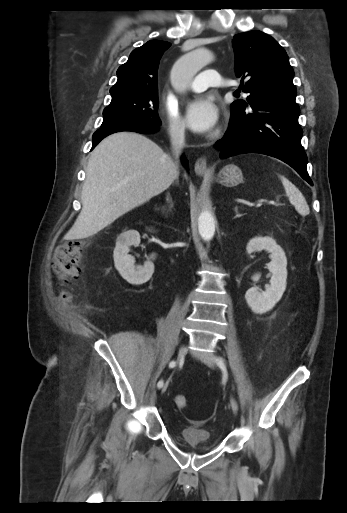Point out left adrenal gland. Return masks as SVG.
I'll use <instances>...</instances> for the list:
<instances>
[{"mask_svg":"<svg viewBox=\"0 0 347 513\" xmlns=\"http://www.w3.org/2000/svg\"><path fill=\"white\" fill-rule=\"evenodd\" d=\"M234 212H235V214H236V215L234 216V219L239 218V217H241V216H242V215L239 213V211H238V206H235V208H234Z\"/></svg>","mask_w":347,"mask_h":513,"instance_id":"a2214340","label":"left adrenal gland"}]
</instances>
